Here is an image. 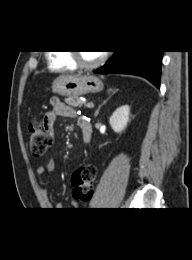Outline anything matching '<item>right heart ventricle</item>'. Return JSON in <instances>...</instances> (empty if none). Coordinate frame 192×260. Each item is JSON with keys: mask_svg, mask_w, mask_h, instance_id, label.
Wrapping results in <instances>:
<instances>
[{"mask_svg": "<svg viewBox=\"0 0 192 260\" xmlns=\"http://www.w3.org/2000/svg\"><path fill=\"white\" fill-rule=\"evenodd\" d=\"M49 68L54 71H73L76 69L67 51H58L49 55Z\"/></svg>", "mask_w": 192, "mask_h": 260, "instance_id": "1", "label": "right heart ventricle"}]
</instances>
